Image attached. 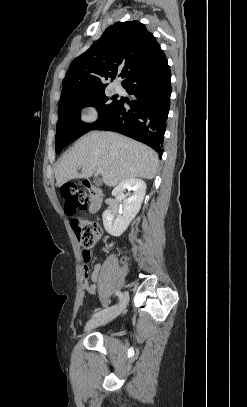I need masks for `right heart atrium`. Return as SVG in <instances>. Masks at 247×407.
Listing matches in <instances>:
<instances>
[{"label": "right heart atrium", "instance_id": "d8ad5b80", "mask_svg": "<svg viewBox=\"0 0 247 407\" xmlns=\"http://www.w3.org/2000/svg\"><path fill=\"white\" fill-rule=\"evenodd\" d=\"M79 117L83 124L91 125L99 120L100 112L96 105L86 104L82 107Z\"/></svg>", "mask_w": 247, "mask_h": 407}]
</instances>
